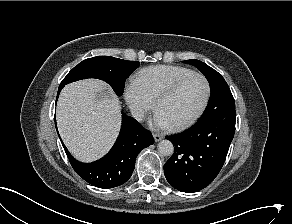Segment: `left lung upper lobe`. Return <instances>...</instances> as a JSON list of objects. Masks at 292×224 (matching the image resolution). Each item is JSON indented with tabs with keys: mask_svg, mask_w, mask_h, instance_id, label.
I'll list each match as a JSON object with an SVG mask.
<instances>
[{
	"mask_svg": "<svg viewBox=\"0 0 292 224\" xmlns=\"http://www.w3.org/2000/svg\"><path fill=\"white\" fill-rule=\"evenodd\" d=\"M185 63L194 65L207 78L210 84V100L200 120L202 123L215 116L235 112V102L230 88L220 73L199 60H186Z\"/></svg>",
	"mask_w": 292,
	"mask_h": 224,
	"instance_id": "1",
	"label": "left lung upper lobe"
}]
</instances>
